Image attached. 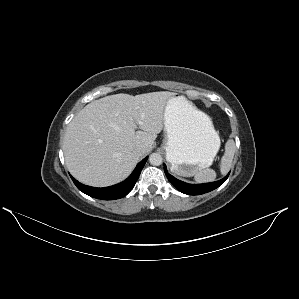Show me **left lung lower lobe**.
Segmentation results:
<instances>
[{
    "mask_svg": "<svg viewBox=\"0 0 299 299\" xmlns=\"http://www.w3.org/2000/svg\"><path fill=\"white\" fill-rule=\"evenodd\" d=\"M164 171H165V174H166L168 180L173 184V186H175L182 193H185L188 195H200V194L210 192V191L216 189L217 187H219L228 178V175H229L228 174L223 179L216 181V182H212V183L188 184V183L182 182V181L176 179L175 177H173L172 175H170L167 172L165 165H164Z\"/></svg>",
    "mask_w": 299,
    "mask_h": 299,
    "instance_id": "1",
    "label": "left lung lower lobe"
}]
</instances>
